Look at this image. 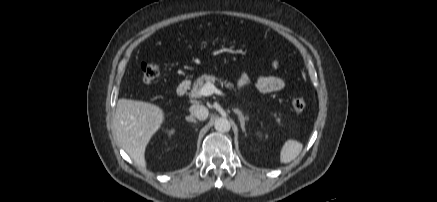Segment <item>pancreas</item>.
<instances>
[{
  "label": "pancreas",
  "mask_w": 437,
  "mask_h": 202,
  "mask_svg": "<svg viewBox=\"0 0 437 202\" xmlns=\"http://www.w3.org/2000/svg\"><path fill=\"white\" fill-rule=\"evenodd\" d=\"M217 80H219V79L216 78L214 75H207V74H204V75L200 76V77L197 78L196 81L194 82L190 95H191L192 97H195V98H199V97H201V95H200V89L204 86V84H205V83H208V82H210V83H215V81H217ZM221 83H222V84L224 83L225 86L228 87V88H233V84L230 83V82H227V81H221ZM274 116H277V115L274 114ZM276 122H277V123H280V122H281V119L278 117V118L276 119Z\"/></svg>",
  "instance_id": "obj_1"
}]
</instances>
